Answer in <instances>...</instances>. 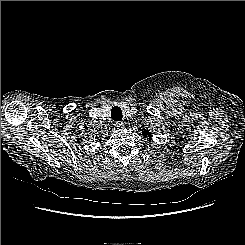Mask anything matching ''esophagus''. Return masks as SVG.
I'll return each instance as SVG.
<instances>
[{"instance_id":"34e87169","label":"esophagus","mask_w":245,"mask_h":245,"mask_svg":"<svg viewBox=\"0 0 245 245\" xmlns=\"http://www.w3.org/2000/svg\"><path fill=\"white\" fill-rule=\"evenodd\" d=\"M115 126L120 129L124 127V123L122 121H118V122H115Z\"/></svg>"}]
</instances>
